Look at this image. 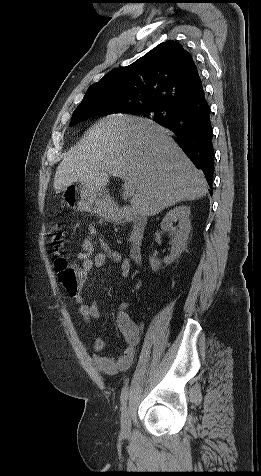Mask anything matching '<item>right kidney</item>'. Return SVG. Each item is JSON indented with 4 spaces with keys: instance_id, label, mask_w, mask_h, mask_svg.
I'll return each mask as SVG.
<instances>
[{
    "instance_id": "1",
    "label": "right kidney",
    "mask_w": 261,
    "mask_h": 476,
    "mask_svg": "<svg viewBox=\"0 0 261 476\" xmlns=\"http://www.w3.org/2000/svg\"><path fill=\"white\" fill-rule=\"evenodd\" d=\"M190 207L177 206L171 209L161 222V229L169 232L171 238V252L163 260L166 264H171L179 258L186 248L187 239L191 230ZM178 221V228L172 226V222ZM150 266L153 271H157L161 266V261L155 257L149 258Z\"/></svg>"
}]
</instances>
